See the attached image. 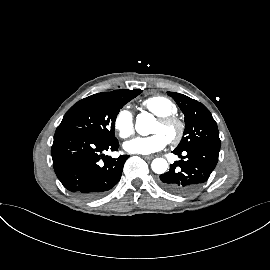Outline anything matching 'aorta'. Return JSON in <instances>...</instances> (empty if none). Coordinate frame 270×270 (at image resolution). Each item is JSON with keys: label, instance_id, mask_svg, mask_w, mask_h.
Instances as JSON below:
<instances>
[{"label": "aorta", "instance_id": "obj_1", "mask_svg": "<svg viewBox=\"0 0 270 270\" xmlns=\"http://www.w3.org/2000/svg\"><path fill=\"white\" fill-rule=\"evenodd\" d=\"M155 119L152 114L141 113L137 116L135 128L137 133L142 136H147L151 132V126L153 125ZM151 168L153 172L157 174H163L168 168V163L164 158H156L152 161Z\"/></svg>", "mask_w": 270, "mask_h": 270}]
</instances>
